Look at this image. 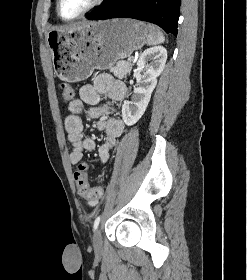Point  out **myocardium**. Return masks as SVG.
Returning <instances> with one entry per match:
<instances>
[{"mask_svg": "<svg viewBox=\"0 0 247 280\" xmlns=\"http://www.w3.org/2000/svg\"><path fill=\"white\" fill-rule=\"evenodd\" d=\"M61 1L62 0H57V5H56L57 15L59 16L60 19H62L63 21H67V22L74 21V20L84 17L86 14H88L89 12H91L92 10H94L95 8H97L98 6H100L101 4H103L105 2V0H93V2L88 7H86L82 12H80L75 17L64 18L60 11Z\"/></svg>", "mask_w": 247, "mask_h": 280, "instance_id": "obj_1", "label": "myocardium"}]
</instances>
